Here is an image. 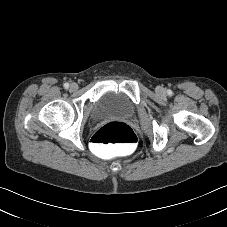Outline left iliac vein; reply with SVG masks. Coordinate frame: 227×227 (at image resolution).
Wrapping results in <instances>:
<instances>
[{"mask_svg": "<svg viewBox=\"0 0 227 227\" xmlns=\"http://www.w3.org/2000/svg\"><path fill=\"white\" fill-rule=\"evenodd\" d=\"M158 93L160 95H164L166 93V90L164 88L160 87V88H158Z\"/></svg>", "mask_w": 227, "mask_h": 227, "instance_id": "left-iliac-vein-1", "label": "left iliac vein"}]
</instances>
